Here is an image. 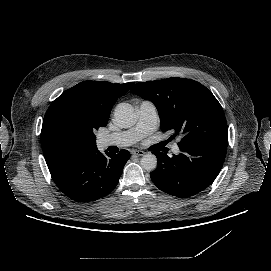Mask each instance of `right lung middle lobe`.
<instances>
[{"label":"right lung middle lobe","instance_id":"dd1d6c3e","mask_svg":"<svg viewBox=\"0 0 271 271\" xmlns=\"http://www.w3.org/2000/svg\"><path fill=\"white\" fill-rule=\"evenodd\" d=\"M92 125L79 119L74 107L63 104L43 120L41 144L46 150L67 152L95 146Z\"/></svg>","mask_w":271,"mask_h":271}]
</instances>
